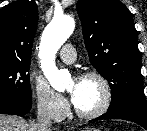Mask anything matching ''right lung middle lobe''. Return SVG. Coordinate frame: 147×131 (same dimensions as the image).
<instances>
[{"label":"right lung middle lobe","instance_id":"dd1d6c3e","mask_svg":"<svg viewBox=\"0 0 147 131\" xmlns=\"http://www.w3.org/2000/svg\"><path fill=\"white\" fill-rule=\"evenodd\" d=\"M30 61L0 59V96L31 101Z\"/></svg>","mask_w":147,"mask_h":131}]
</instances>
